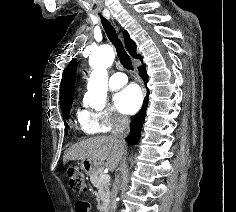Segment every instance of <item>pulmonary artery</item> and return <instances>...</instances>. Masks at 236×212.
<instances>
[{
	"mask_svg": "<svg viewBox=\"0 0 236 212\" xmlns=\"http://www.w3.org/2000/svg\"><path fill=\"white\" fill-rule=\"evenodd\" d=\"M128 81L127 76L124 73H115L113 74L108 82V86L110 89H118L125 85Z\"/></svg>",
	"mask_w": 236,
	"mask_h": 212,
	"instance_id": "obj_1",
	"label": "pulmonary artery"
}]
</instances>
